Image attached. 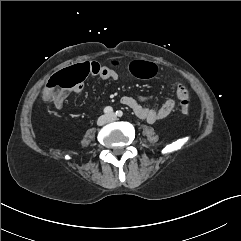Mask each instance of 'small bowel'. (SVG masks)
I'll return each mask as SVG.
<instances>
[{"label":"small bowel","instance_id":"c3829d8e","mask_svg":"<svg viewBox=\"0 0 241 241\" xmlns=\"http://www.w3.org/2000/svg\"><path fill=\"white\" fill-rule=\"evenodd\" d=\"M91 65L90 74L98 76L102 80L116 81L119 78L118 72L108 66L102 65L96 61H87ZM180 88H185L183 85L176 86V93ZM83 89V84H79L75 87L74 91L79 93ZM186 89V88H185ZM66 97V94H65ZM145 97H133V96H122L120 103L124 106L129 107L133 110L135 115L147 121L148 123H155L168 117L175 107V101L173 99H167L158 109L146 107L144 104L147 102ZM57 109H62L63 101L55 102Z\"/></svg>","mask_w":241,"mask_h":241}]
</instances>
